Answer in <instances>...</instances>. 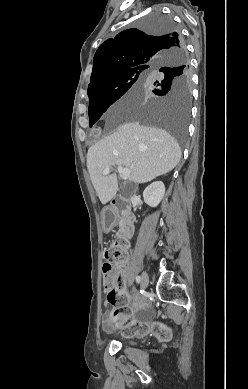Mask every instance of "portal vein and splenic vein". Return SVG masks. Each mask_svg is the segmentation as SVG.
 Masks as SVG:
<instances>
[{
    "label": "portal vein and splenic vein",
    "mask_w": 248,
    "mask_h": 389,
    "mask_svg": "<svg viewBox=\"0 0 248 389\" xmlns=\"http://www.w3.org/2000/svg\"><path fill=\"white\" fill-rule=\"evenodd\" d=\"M117 170H118L119 174L121 175V177H122L124 180H127V179L129 178L130 173H131L130 169L124 168L123 166H118V167H117ZM109 172H110V168L107 167V168H105V169L103 170L102 174H103V175H108Z\"/></svg>",
    "instance_id": "18ae733b"
}]
</instances>
